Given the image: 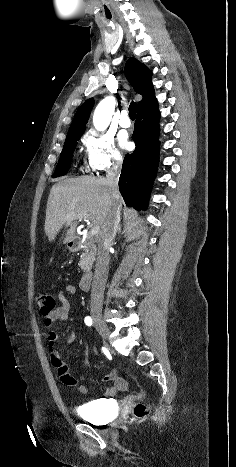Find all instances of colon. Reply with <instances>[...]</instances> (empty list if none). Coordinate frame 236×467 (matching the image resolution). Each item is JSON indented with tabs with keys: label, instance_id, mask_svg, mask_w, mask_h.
I'll use <instances>...</instances> for the list:
<instances>
[{
	"label": "colon",
	"instance_id": "5ec220e1",
	"mask_svg": "<svg viewBox=\"0 0 236 467\" xmlns=\"http://www.w3.org/2000/svg\"><path fill=\"white\" fill-rule=\"evenodd\" d=\"M36 301L39 311L43 315H48L54 311L56 307L55 299L47 292H39L36 295ZM149 409L147 405L138 403L134 406L133 414L137 420H142L148 415Z\"/></svg>",
	"mask_w": 236,
	"mask_h": 467
}]
</instances>
